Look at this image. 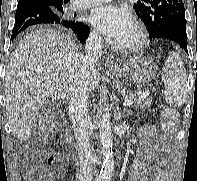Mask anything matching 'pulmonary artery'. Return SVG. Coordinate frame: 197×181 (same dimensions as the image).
Listing matches in <instances>:
<instances>
[{
	"label": "pulmonary artery",
	"mask_w": 197,
	"mask_h": 181,
	"mask_svg": "<svg viewBox=\"0 0 197 181\" xmlns=\"http://www.w3.org/2000/svg\"><path fill=\"white\" fill-rule=\"evenodd\" d=\"M110 0H78L75 4H74V9H83V8H87L90 6H94V5H99L105 2H108Z\"/></svg>",
	"instance_id": "e3ab8cb5"
}]
</instances>
